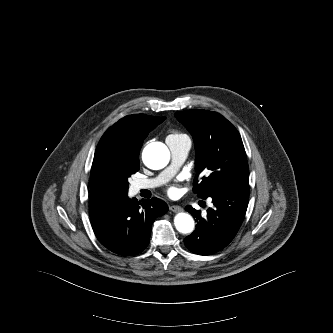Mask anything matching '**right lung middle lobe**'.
Wrapping results in <instances>:
<instances>
[{
  "instance_id": "dd1d6c3e",
  "label": "right lung middle lobe",
  "mask_w": 333,
  "mask_h": 333,
  "mask_svg": "<svg viewBox=\"0 0 333 333\" xmlns=\"http://www.w3.org/2000/svg\"><path fill=\"white\" fill-rule=\"evenodd\" d=\"M139 159L138 158H130L124 161L122 165V175H123V189L122 193L127 195L128 192V177L132 174L136 173L139 170Z\"/></svg>"
}]
</instances>
